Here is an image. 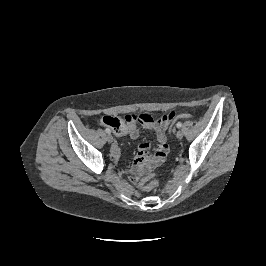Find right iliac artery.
<instances>
[{"label":"right iliac artery","instance_id":"right-iliac-artery-1","mask_svg":"<svg viewBox=\"0 0 266 266\" xmlns=\"http://www.w3.org/2000/svg\"><path fill=\"white\" fill-rule=\"evenodd\" d=\"M105 132L108 133V134H110L111 133V130L109 128H106L105 129Z\"/></svg>","mask_w":266,"mask_h":266}]
</instances>
